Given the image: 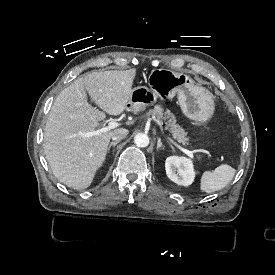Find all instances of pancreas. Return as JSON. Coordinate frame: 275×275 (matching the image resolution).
Masks as SVG:
<instances>
[{"instance_id": "cf45deb5", "label": "pancreas", "mask_w": 275, "mask_h": 275, "mask_svg": "<svg viewBox=\"0 0 275 275\" xmlns=\"http://www.w3.org/2000/svg\"><path fill=\"white\" fill-rule=\"evenodd\" d=\"M146 116H155L158 120L166 121L165 128L171 132L173 138L183 145L188 144L187 132L176 123L175 115L169 109L164 110L161 105H155L146 113Z\"/></svg>"}]
</instances>
